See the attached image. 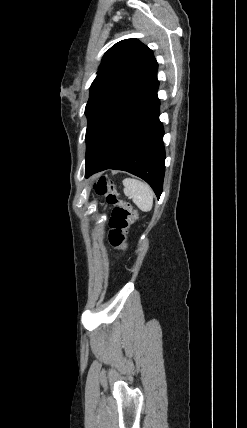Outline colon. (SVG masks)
I'll return each mask as SVG.
<instances>
[{
  "label": "colon",
  "mask_w": 247,
  "mask_h": 428,
  "mask_svg": "<svg viewBox=\"0 0 247 428\" xmlns=\"http://www.w3.org/2000/svg\"><path fill=\"white\" fill-rule=\"evenodd\" d=\"M95 192L105 195L106 201L113 206L109 219L108 243L113 249H127L128 229L137 218V211L131 204L121 199L114 185L105 178L94 182Z\"/></svg>",
  "instance_id": "colon-1"
}]
</instances>
